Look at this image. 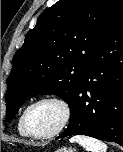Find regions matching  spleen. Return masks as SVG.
<instances>
[{"mask_svg":"<svg viewBox=\"0 0 123 152\" xmlns=\"http://www.w3.org/2000/svg\"><path fill=\"white\" fill-rule=\"evenodd\" d=\"M71 142H77L88 152H106L107 145L102 141H99L92 137H87L84 135H76L71 138Z\"/></svg>","mask_w":123,"mask_h":152,"instance_id":"spleen-1","label":"spleen"}]
</instances>
